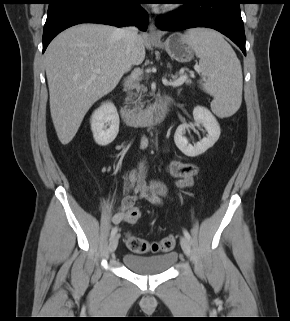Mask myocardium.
Wrapping results in <instances>:
<instances>
[{"label":"myocardium","mask_w":290,"mask_h":321,"mask_svg":"<svg viewBox=\"0 0 290 321\" xmlns=\"http://www.w3.org/2000/svg\"><path fill=\"white\" fill-rule=\"evenodd\" d=\"M175 8L174 5H168L166 8H165V11H170V10H173Z\"/></svg>","instance_id":"f54148a6"}]
</instances>
